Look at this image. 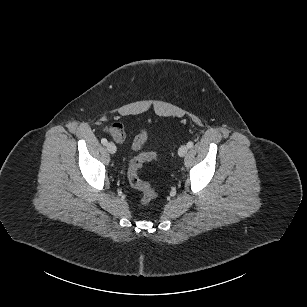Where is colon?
Wrapping results in <instances>:
<instances>
[{"mask_svg": "<svg viewBox=\"0 0 307 307\" xmlns=\"http://www.w3.org/2000/svg\"><path fill=\"white\" fill-rule=\"evenodd\" d=\"M152 159H157V156L153 153L142 154L131 161L128 169V181L133 188L141 192L140 202L142 204H148L157 196L156 189L151 184L141 180L138 175L142 164Z\"/></svg>", "mask_w": 307, "mask_h": 307, "instance_id": "colon-1", "label": "colon"}]
</instances>
